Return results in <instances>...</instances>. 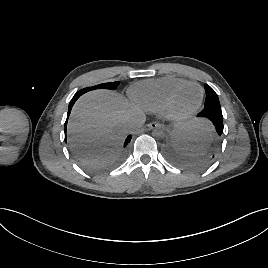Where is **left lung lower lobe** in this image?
Segmentation results:
<instances>
[{"label":"left lung lower lobe","instance_id":"obj_1","mask_svg":"<svg viewBox=\"0 0 268 268\" xmlns=\"http://www.w3.org/2000/svg\"><path fill=\"white\" fill-rule=\"evenodd\" d=\"M201 115L207 116L211 120L213 125L218 129L219 135L218 138L215 140V142H217L221 137L224 128L221 108H212V107L204 108L198 114V116Z\"/></svg>","mask_w":268,"mask_h":268}]
</instances>
